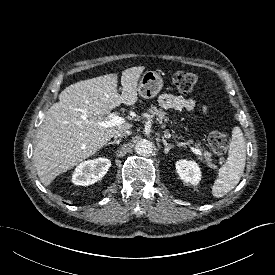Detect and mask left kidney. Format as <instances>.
I'll return each mask as SVG.
<instances>
[{
	"label": "left kidney",
	"mask_w": 275,
	"mask_h": 275,
	"mask_svg": "<svg viewBox=\"0 0 275 275\" xmlns=\"http://www.w3.org/2000/svg\"><path fill=\"white\" fill-rule=\"evenodd\" d=\"M176 170L184 182L197 185L201 180L200 168L194 161L179 160L176 162Z\"/></svg>",
	"instance_id": "1"
}]
</instances>
